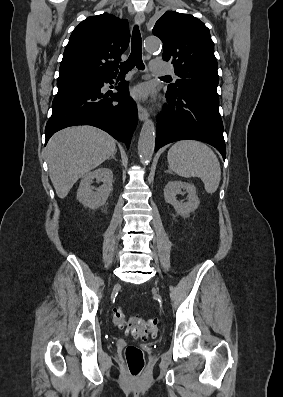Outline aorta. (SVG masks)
<instances>
[{
    "label": "aorta",
    "instance_id": "762f6f07",
    "mask_svg": "<svg viewBox=\"0 0 283 397\" xmlns=\"http://www.w3.org/2000/svg\"><path fill=\"white\" fill-rule=\"evenodd\" d=\"M148 52H155L161 48V41L156 37H148L144 43ZM155 148V126L151 119H146L142 125L138 141V153L140 162L148 164L153 156Z\"/></svg>",
    "mask_w": 283,
    "mask_h": 397
}]
</instances>
